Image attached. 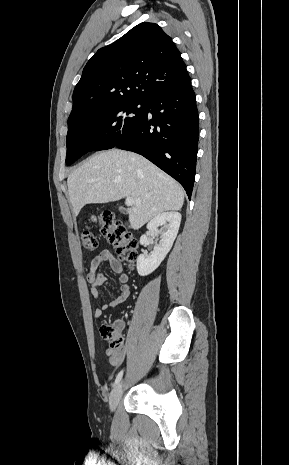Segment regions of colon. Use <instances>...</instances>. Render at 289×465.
Masks as SVG:
<instances>
[{
    "mask_svg": "<svg viewBox=\"0 0 289 465\" xmlns=\"http://www.w3.org/2000/svg\"><path fill=\"white\" fill-rule=\"evenodd\" d=\"M92 222L99 227L100 232L115 247L120 259L131 266L137 256V243L125 227L110 212L93 217ZM80 241L85 250H93L97 247V238L90 226L82 228ZM100 333L110 344L111 357L113 359L119 358L124 351V340L119 334L117 325L105 322L100 328Z\"/></svg>",
    "mask_w": 289,
    "mask_h": 465,
    "instance_id": "1",
    "label": "colon"
}]
</instances>
